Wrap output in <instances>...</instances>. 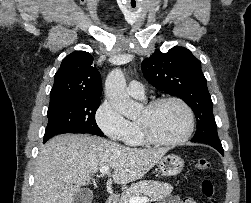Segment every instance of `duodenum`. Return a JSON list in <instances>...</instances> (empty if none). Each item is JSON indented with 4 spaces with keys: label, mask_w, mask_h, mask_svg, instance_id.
<instances>
[{
    "label": "duodenum",
    "mask_w": 251,
    "mask_h": 203,
    "mask_svg": "<svg viewBox=\"0 0 251 203\" xmlns=\"http://www.w3.org/2000/svg\"><path fill=\"white\" fill-rule=\"evenodd\" d=\"M105 203H117V195L112 194L106 200Z\"/></svg>",
    "instance_id": "1"
}]
</instances>
